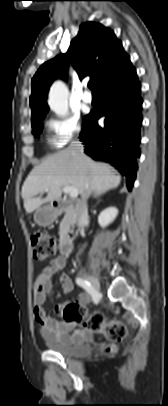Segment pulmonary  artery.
<instances>
[{
	"instance_id": "1",
	"label": "pulmonary artery",
	"mask_w": 168,
	"mask_h": 406,
	"mask_svg": "<svg viewBox=\"0 0 168 406\" xmlns=\"http://www.w3.org/2000/svg\"><path fill=\"white\" fill-rule=\"evenodd\" d=\"M82 100L83 102L90 104L93 101V97L89 91L85 90L82 94Z\"/></svg>"
}]
</instances>
